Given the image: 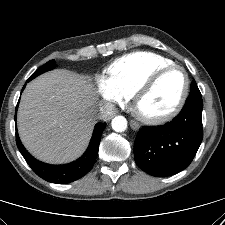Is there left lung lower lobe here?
Here are the masks:
<instances>
[{"instance_id":"1","label":"left lung lower lobe","mask_w":225,"mask_h":225,"mask_svg":"<svg viewBox=\"0 0 225 225\" xmlns=\"http://www.w3.org/2000/svg\"><path fill=\"white\" fill-rule=\"evenodd\" d=\"M202 109L201 94H190L171 122L142 128L134 143L137 165L156 177L174 175L188 167L203 138Z\"/></svg>"}]
</instances>
